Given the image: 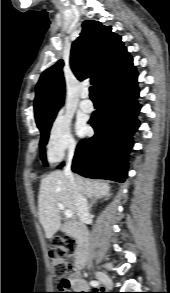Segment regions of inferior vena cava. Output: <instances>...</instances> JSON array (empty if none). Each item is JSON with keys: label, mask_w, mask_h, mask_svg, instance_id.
<instances>
[{"label": "inferior vena cava", "mask_w": 170, "mask_h": 293, "mask_svg": "<svg viewBox=\"0 0 170 293\" xmlns=\"http://www.w3.org/2000/svg\"><path fill=\"white\" fill-rule=\"evenodd\" d=\"M74 151H75L74 146L69 148L68 158H67L64 172L67 175V177L69 179V183L71 185V188L73 189V192H74L75 205L77 207V215L79 217V220L81 222H85L89 217V206L87 203V199L79 191L78 186L75 182L74 176L71 171V164H72V159L74 156Z\"/></svg>", "instance_id": "obj_1"}]
</instances>
